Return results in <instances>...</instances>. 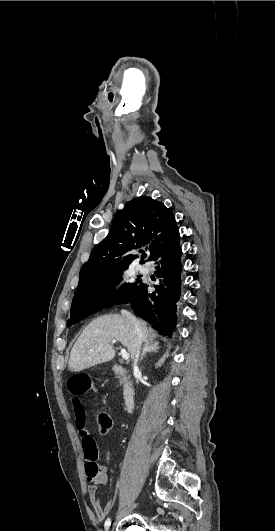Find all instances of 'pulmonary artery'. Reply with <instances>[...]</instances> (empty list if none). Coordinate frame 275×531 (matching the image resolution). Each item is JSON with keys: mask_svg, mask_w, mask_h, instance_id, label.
Wrapping results in <instances>:
<instances>
[{"mask_svg": "<svg viewBox=\"0 0 275 531\" xmlns=\"http://www.w3.org/2000/svg\"><path fill=\"white\" fill-rule=\"evenodd\" d=\"M138 270L140 273L144 274L145 276H149V267L146 264L139 265Z\"/></svg>", "mask_w": 275, "mask_h": 531, "instance_id": "e3ab8cb5", "label": "pulmonary artery"}]
</instances>
